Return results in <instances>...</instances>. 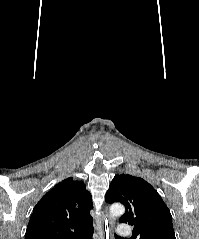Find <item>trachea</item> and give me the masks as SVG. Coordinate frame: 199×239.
Here are the masks:
<instances>
[{"label":"trachea","instance_id":"1","mask_svg":"<svg viewBox=\"0 0 199 239\" xmlns=\"http://www.w3.org/2000/svg\"><path fill=\"white\" fill-rule=\"evenodd\" d=\"M115 238L116 239H122L121 237L117 236L116 234H115Z\"/></svg>","mask_w":199,"mask_h":239}]
</instances>
